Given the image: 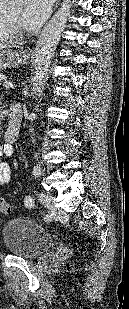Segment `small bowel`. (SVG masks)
<instances>
[{
  "mask_svg": "<svg viewBox=\"0 0 129 309\" xmlns=\"http://www.w3.org/2000/svg\"><path fill=\"white\" fill-rule=\"evenodd\" d=\"M13 148L9 143H4L0 146V155L12 156ZM12 179V170L5 162H0V185L8 184Z\"/></svg>",
  "mask_w": 129,
  "mask_h": 309,
  "instance_id": "small-bowel-1",
  "label": "small bowel"
}]
</instances>
